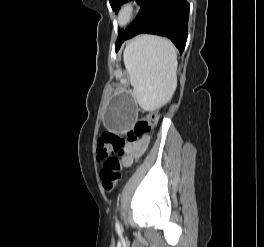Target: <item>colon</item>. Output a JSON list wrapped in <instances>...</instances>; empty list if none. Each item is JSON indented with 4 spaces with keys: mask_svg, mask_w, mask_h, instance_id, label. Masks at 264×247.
<instances>
[{
    "mask_svg": "<svg viewBox=\"0 0 264 247\" xmlns=\"http://www.w3.org/2000/svg\"><path fill=\"white\" fill-rule=\"evenodd\" d=\"M157 114L151 111L146 116L138 119L132 129L125 135L106 131L97 141L96 153L103 162L100 171V181L103 189L111 192L115 189L122 176L121 157L126 154V145L136 142L143 135L148 134L156 122ZM117 154L118 156H114Z\"/></svg>",
    "mask_w": 264,
    "mask_h": 247,
    "instance_id": "5ec220e1",
    "label": "colon"
}]
</instances>
